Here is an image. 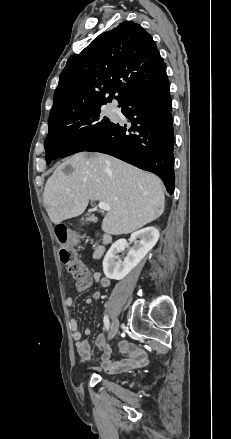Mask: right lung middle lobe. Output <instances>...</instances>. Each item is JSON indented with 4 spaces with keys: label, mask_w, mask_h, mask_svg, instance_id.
<instances>
[{
    "label": "right lung middle lobe",
    "mask_w": 231,
    "mask_h": 439,
    "mask_svg": "<svg viewBox=\"0 0 231 439\" xmlns=\"http://www.w3.org/2000/svg\"><path fill=\"white\" fill-rule=\"evenodd\" d=\"M101 107L87 108L48 121L49 132L44 145L47 164L85 151L115 126L102 114Z\"/></svg>",
    "instance_id": "obj_1"
}]
</instances>
